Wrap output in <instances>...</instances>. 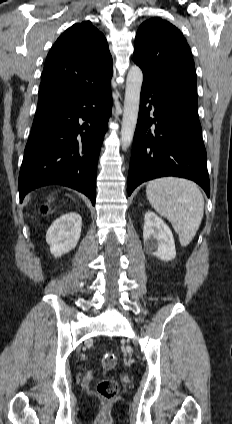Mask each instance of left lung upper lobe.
Here are the masks:
<instances>
[{
    "label": "left lung upper lobe",
    "mask_w": 232,
    "mask_h": 424,
    "mask_svg": "<svg viewBox=\"0 0 232 424\" xmlns=\"http://www.w3.org/2000/svg\"><path fill=\"white\" fill-rule=\"evenodd\" d=\"M133 60L143 72L144 83L196 87L190 47L182 33L168 21L154 17L140 25Z\"/></svg>",
    "instance_id": "1"
}]
</instances>
